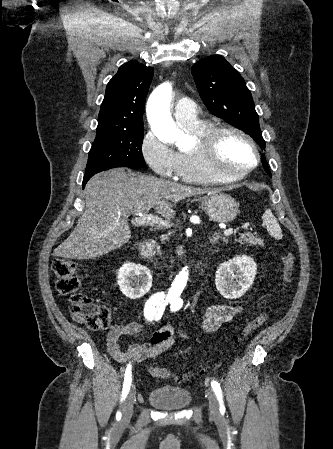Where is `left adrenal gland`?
<instances>
[{"label":"left adrenal gland","mask_w":333,"mask_h":449,"mask_svg":"<svg viewBox=\"0 0 333 449\" xmlns=\"http://www.w3.org/2000/svg\"><path fill=\"white\" fill-rule=\"evenodd\" d=\"M218 239H221V240H223L224 242L227 241V239H226L224 236H220V235L217 234V233H215V234L212 236V238H211L210 241H211L213 244H215V242H217Z\"/></svg>","instance_id":"obj_1"}]
</instances>
